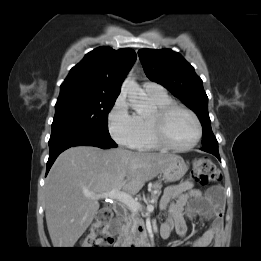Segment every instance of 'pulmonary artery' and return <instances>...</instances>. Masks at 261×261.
Returning a JSON list of instances; mask_svg holds the SVG:
<instances>
[{
	"mask_svg": "<svg viewBox=\"0 0 261 261\" xmlns=\"http://www.w3.org/2000/svg\"><path fill=\"white\" fill-rule=\"evenodd\" d=\"M143 89L146 93H150V94H161L164 93V88L155 82H151V81H146L143 83Z\"/></svg>",
	"mask_w": 261,
	"mask_h": 261,
	"instance_id": "pulmonary-artery-1",
	"label": "pulmonary artery"
}]
</instances>
